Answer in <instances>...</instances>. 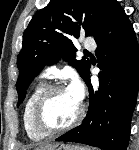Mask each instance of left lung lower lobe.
I'll return each instance as SVG.
<instances>
[{
  "mask_svg": "<svg viewBox=\"0 0 139 150\" xmlns=\"http://www.w3.org/2000/svg\"><path fill=\"white\" fill-rule=\"evenodd\" d=\"M95 41L98 67L102 69L99 89L93 90L88 72L87 116L81 125L56 141L83 143L103 150H126L139 89V46L133 26L118 2Z\"/></svg>",
  "mask_w": 139,
  "mask_h": 150,
  "instance_id": "0a47b994",
  "label": "left lung lower lobe"
}]
</instances>
